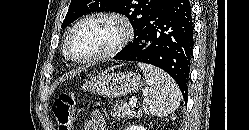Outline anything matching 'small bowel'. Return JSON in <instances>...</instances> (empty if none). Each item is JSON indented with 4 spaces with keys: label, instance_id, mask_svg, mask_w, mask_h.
I'll return each instance as SVG.
<instances>
[{
    "label": "small bowel",
    "instance_id": "obj_1",
    "mask_svg": "<svg viewBox=\"0 0 249 130\" xmlns=\"http://www.w3.org/2000/svg\"><path fill=\"white\" fill-rule=\"evenodd\" d=\"M106 120L104 115L98 111H92L89 119L84 124V130H105Z\"/></svg>",
    "mask_w": 249,
    "mask_h": 130
}]
</instances>
